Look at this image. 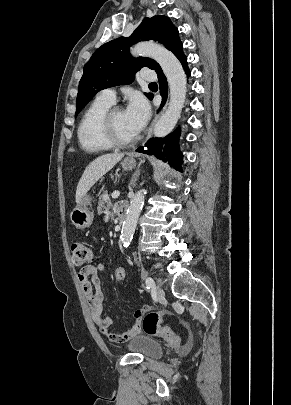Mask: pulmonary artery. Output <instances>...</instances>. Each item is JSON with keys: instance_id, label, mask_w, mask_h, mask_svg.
<instances>
[{"instance_id": "pulmonary-artery-1", "label": "pulmonary artery", "mask_w": 291, "mask_h": 405, "mask_svg": "<svg viewBox=\"0 0 291 405\" xmlns=\"http://www.w3.org/2000/svg\"><path fill=\"white\" fill-rule=\"evenodd\" d=\"M142 79L145 81L152 82L157 79V75H156L155 71L150 70V69H145L142 72ZM97 98H99L107 103L113 104L115 102L116 92L113 88H106L98 94Z\"/></svg>"}]
</instances>
